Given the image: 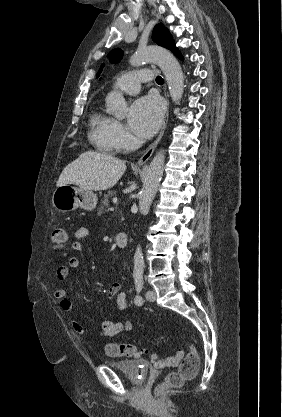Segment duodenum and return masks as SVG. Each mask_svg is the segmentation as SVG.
<instances>
[{
  "label": "duodenum",
  "mask_w": 282,
  "mask_h": 417,
  "mask_svg": "<svg viewBox=\"0 0 282 417\" xmlns=\"http://www.w3.org/2000/svg\"><path fill=\"white\" fill-rule=\"evenodd\" d=\"M127 239H128V236H127L126 233L119 232V233L116 234V236L114 238V243L119 248H125L126 245H127Z\"/></svg>",
  "instance_id": "410a0bca"
}]
</instances>
